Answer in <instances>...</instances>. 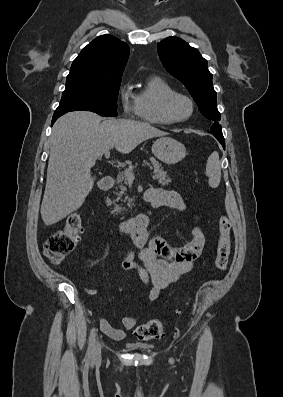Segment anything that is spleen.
Instances as JSON below:
<instances>
[{
	"label": "spleen",
	"instance_id": "1",
	"mask_svg": "<svg viewBox=\"0 0 283 397\" xmlns=\"http://www.w3.org/2000/svg\"><path fill=\"white\" fill-rule=\"evenodd\" d=\"M206 175L209 178V186L212 188H217L221 180V166L217 151L212 152L208 157L206 164Z\"/></svg>",
	"mask_w": 283,
	"mask_h": 397
}]
</instances>
